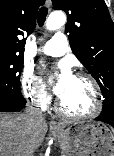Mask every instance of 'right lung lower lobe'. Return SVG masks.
Returning a JSON list of instances; mask_svg holds the SVG:
<instances>
[{"label": "right lung lower lobe", "instance_id": "right-lung-lower-lobe-1", "mask_svg": "<svg viewBox=\"0 0 114 156\" xmlns=\"http://www.w3.org/2000/svg\"><path fill=\"white\" fill-rule=\"evenodd\" d=\"M26 104V100L0 98V112L20 111Z\"/></svg>", "mask_w": 114, "mask_h": 156}]
</instances>
